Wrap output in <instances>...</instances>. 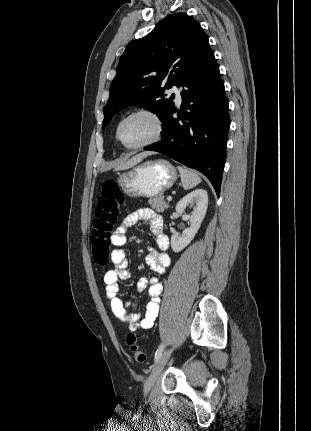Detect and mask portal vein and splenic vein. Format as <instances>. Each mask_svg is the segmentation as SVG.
<instances>
[{
    "mask_svg": "<svg viewBox=\"0 0 311 431\" xmlns=\"http://www.w3.org/2000/svg\"><path fill=\"white\" fill-rule=\"evenodd\" d=\"M167 200H168V202H171V200H172L171 196H168Z\"/></svg>",
    "mask_w": 311,
    "mask_h": 431,
    "instance_id": "portal-vein-and-splenic-vein-1",
    "label": "portal vein and splenic vein"
}]
</instances>
